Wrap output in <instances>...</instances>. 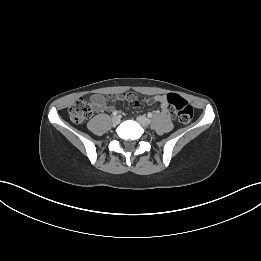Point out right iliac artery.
<instances>
[{"label":"right iliac artery","instance_id":"82829eb1","mask_svg":"<svg viewBox=\"0 0 261 261\" xmlns=\"http://www.w3.org/2000/svg\"><path fill=\"white\" fill-rule=\"evenodd\" d=\"M117 114H118L117 111H114V112H113V115H114V116H116Z\"/></svg>","mask_w":261,"mask_h":261}]
</instances>
